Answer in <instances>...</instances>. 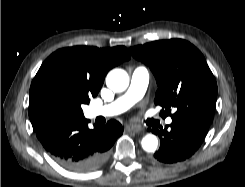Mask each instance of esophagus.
<instances>
[{"mask_svg":"<svg viewBox=\"0 0 245 187\" xmlns=\"http://www.w3.org/2000/svg\"><path fill=\"white\" fill-rule=\"evenodd\" d=\"M125 130L128 132L138 133L142 131L143 129L140 126L129 124L125 126Z\"/></svg>","mask_w":245,"mask_h":187,"instance_id":"obj_1","label":"esophagus"}]
</instances>
